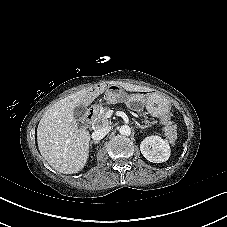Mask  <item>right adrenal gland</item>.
I'll return each instance as SVG.
<instances>
[{"label":"right adrenal gland","mask_w":227,"mask_h":227,"mask_svg":"<svg viewBox=\"0 0 227 227\" xmlns=\"http://www.w3.org/2000/svg\"><path fill=\"white\" fill-rule=\"evenodd\" d=\"M100 143L99 141H91V144H98Z\"/></svg>","instance_id":"1"}]
</instances>
